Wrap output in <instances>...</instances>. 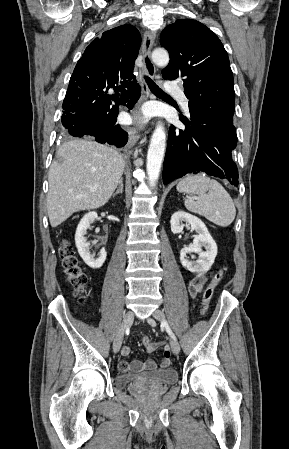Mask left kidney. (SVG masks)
Wrapping results in <instances>:
<instances>
[{
    "label": "left kidney",
    "instance_id": "5707ae66",
    "mask_svg": "<svg viewBox=\"0 0 289 449\" xmlns=\"http://www.w3.org/2000/svg\"><path fill=\"white\" fill-rule=\"evenodd\" d=\"M182 222L191 225V228L195 230L198 235L194 236L193 244L191 246L181 249V264L192 273L204 274L211 268L217 255L216 242L213 240L201 219L183 211L175 212L171 217L170 223L173 234H179L183 231L184 225ZM202 247H204L206 251H203ZM190 253H198L199 259L196 262L189 261L187 254Z\"/></svg>",
    "mask_w": 289,
    "mask_h": 449
}]
</instances>
